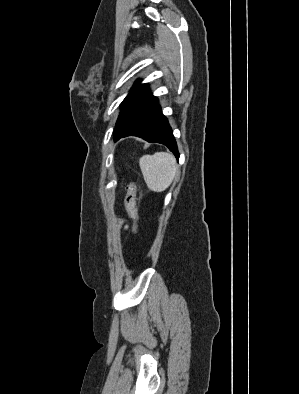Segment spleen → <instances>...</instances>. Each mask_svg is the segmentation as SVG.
<instances>
[{
    "instance_id": "spleen-1",
    "label": "spleen",
    "mask_w": 299,
    "mask_h": 394,
    "mask_svg": "<svg viewBox=\"0 0 299 394\" xmlns=\"http://www.w3.org/2000/svg\"><path fill=\"white\" fill-rule=\"evenodd\" d=\"M139 166L147 187L158 193L171 185L177 173L175 158L165 152L143 155L139 159Z\"/></svg>"
}]
</instances>
